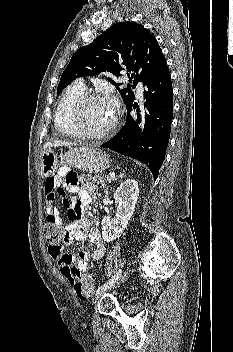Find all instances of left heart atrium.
Wrapping results in <instances>:
<instances>
[{"label": "left heart atrium", "instance_id": "1", "mask_svg": "<svg viewBox=\"0 0 233 352\" xmlns=\"http://www.w3.org/2000/svg\"><path fill=\"white\" fill-rule=\"evenodd\" d=\"M108 103H109L112 107H114V103H113L112 101H108Z\"/></svg>", "mask_w": 233, "mask_h": 352}]
</instances>
